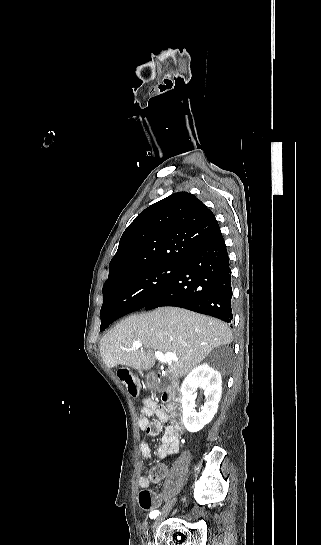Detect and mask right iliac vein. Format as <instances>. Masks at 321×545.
I'll return each mask as SVG.
<instances>
[{
    "label": "right iliac vein",
    "mask_w": 321,
    "mask_h": 545,
    "mask_svg": "<svg viewBox=\"0 0 321 545\" xmlns=\"http://www.w3.org/2000/svg\"><path fill=\"white\" fill-rule=\"evenodd\" d=\"M176 502V497H172L168 502L167 504L164 506V508L162 509V512L160 514V516H158L153 524V528L157 527L165 518L166 516L168 515L169 511L171 510L172 506L174 505V503Z\"/></svg>",
    "instance_id": "1"
}]
</instances>
